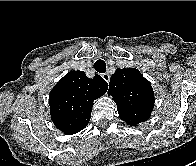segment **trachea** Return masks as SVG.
Wrapping results in <instances>:
<instances>
[{
  "label": "trachea",
  "mask_w": 196,
  "mask_h": 166,
  "mask_svg": "<svg viewBox=\"0 0 196 166\" xmlns=\"http://www.w3.org/2000/svg\"><path fill=\"white\" fill-rule=\"evenodd\" d=\"M94 68L99 73H105V71H106V64H105V62L103 60L99 59V60H97L95 62Z\"/></svg>",
  "instance_id": "3493384b"
}]
</instances>
